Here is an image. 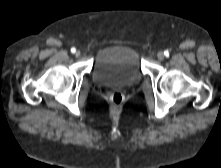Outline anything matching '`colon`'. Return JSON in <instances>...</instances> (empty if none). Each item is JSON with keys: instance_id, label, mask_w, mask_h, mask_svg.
<instances>
[{"instance_id": "1", "label": "colon", "mask_w": 221, "mask_h": 168, "mask_svg": "<svg viewBox=\"0 0 221 168\" xmlns=\"http://www.w3.org/2000/svg\"><path fill=\"white\" fill-rule=\"evenodd\" d=\"M124 101V96L120 92H114L110 95V103L114 109H117L121 106Z\"/></svg>"}]
</instances>
